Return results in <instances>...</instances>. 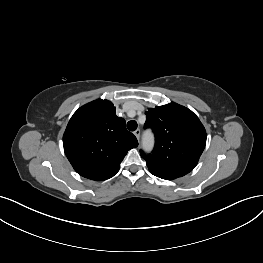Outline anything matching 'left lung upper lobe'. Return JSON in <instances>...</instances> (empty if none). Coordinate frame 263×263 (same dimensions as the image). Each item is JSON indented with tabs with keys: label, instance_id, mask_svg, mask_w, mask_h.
<instances>
[{
	"label": "left lung upper lobe",
	"instance_id": "left-lung-upper-lobe-1",
	"mask_svg": "<svg viewBox=\"0 0 263 263\" xmlns=\"http://www.w3.org/2000/svg\"><path fill=\"white\" fill-rule=\"evenodd\" d=\"M145 128L155 135L151 154L142 151L149 171L162 179L173 180L194 169L205 148L206 131L199 118L188 108L171 102L149 108Z\"/></svg>",
	"mask_w": 263,
	"mask_h": 263
}]
</instances>
